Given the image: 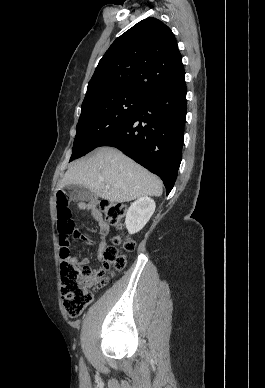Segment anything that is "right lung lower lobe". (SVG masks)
<instances>
[{"label": "right lung lower lobe", "instance_id": "98d812e1", "mask_svg": "<svg viewBox=\"0 0 265 388\" xmlns=\"http://www.w3.org/2000/svg\"><path fill=\"white\" fill-rule=\"evenodd\" d=\"M186 93L184 77L152 89L137 110L98 145L116 147L157 174L167 195L182 159Z\"/></svg>", "mask_w": 265, "mask_h": 388}]
</instances>
